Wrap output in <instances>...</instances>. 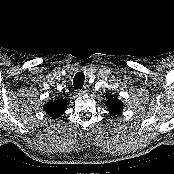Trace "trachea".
<instances>
[{
  "label": "trachea",
  "instance_id": "1",
  "mask_svg": "<svg viewBox=\"0 0 174 174\" xmlns=\"http://www.w3.org/2000/svg\"><path fill=\"white\" fill-rule=\"evenodd\" d=\"M85 81V75L83 72H78L73 78V86L76 90H81L83 88Z\"/></svg>",
  "mask_w": 174,
  "mask_h": 174
}]
</instances>
